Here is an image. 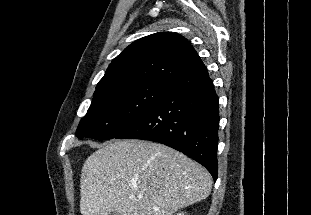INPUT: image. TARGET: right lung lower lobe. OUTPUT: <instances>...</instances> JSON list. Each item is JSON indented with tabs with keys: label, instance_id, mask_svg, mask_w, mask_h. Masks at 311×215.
<instances>
[{
	"label": "right lung lower lobe",
	"instance_id": "98d812e1",
	"mask_svg": "<svg viewBox=\"0 0 311 215\" xmlns=\"http://www.w3.org/2000/svg\"><path fill=\"white\" fill-rule=\"evenodd\" d=\"M219 102L205 66L172 81L159 102L116 139L165 144L218 177Z\"/></svg>",
	"mask_w": 311,
	"mask_h": 215
}]
</instances>
